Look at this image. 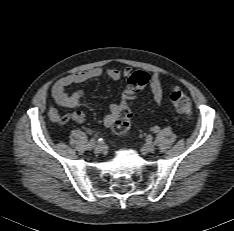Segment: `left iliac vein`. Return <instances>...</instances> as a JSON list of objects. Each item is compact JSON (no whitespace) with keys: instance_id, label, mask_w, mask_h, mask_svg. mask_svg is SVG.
Here are the masks:
<instances>
[{"instance_id":"1","label":"left iliac vein","mask_w":234,"mask_h":231,"mask_svg":"<svg viewBox=\"0 0 234 231\" xmlns=\"http://www.w3.org/2000/svg\"><path fill=\"white\" fill-rule=\"evenodd\" d=\"M155 149V145L153 142H147L145 144H143L142 146V151L148 153V152H153Z\"/></svg>"}]
</instances>
